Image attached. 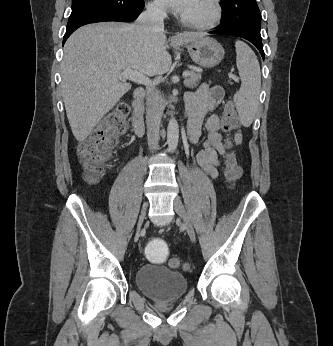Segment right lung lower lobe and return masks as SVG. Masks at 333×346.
<instances>
[{
    "mask_svg": "<svg viewBox=\"0 0 333 346\" xmlns=\"http://www.w3.org/2000/svg\"><path fill=\"white\" fill-rule=\"evenodd\" d=\"M143 8L144 0H141L135 8L127 12L92 11L81 14L78 17L68 21L66 33L63 38V44L77 28L83 25L107 21L131 22L138 17Z\"/></svg>",
    "mask_w": 333,
    "mask_h": 346,
    "instance_id": "98d812e1",
    "label": "right lung lower lobe"
}]
</instances>
